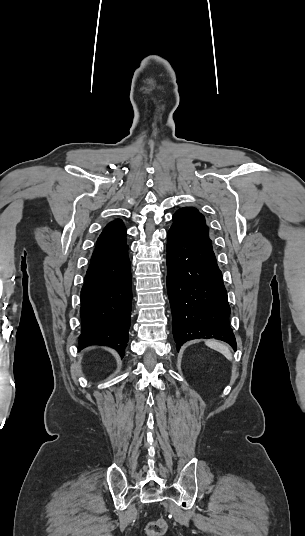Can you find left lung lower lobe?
<instances>
[{
  "mask_svg": "<svg viewBox=\"0 0 305 536\" xmlns=\"http://www.w3.org/2000/svg\"><path fill=\"white\" fill-rule=\"evenodd\" d=\"M167 290L177 350L188 340L215 338L236 350L230 307L211 243L169 230Z\"/></svg>",
  "mask_w": 305,
  "mask_h": 536,
  "instance_id": "1",
  "label": "left lung lower lobe"
}]
</instances>
